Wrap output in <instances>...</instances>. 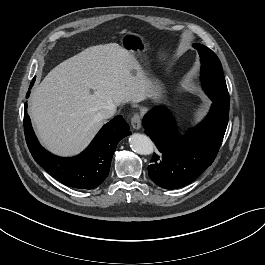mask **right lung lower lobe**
<instances>
[{
  "label": "right lung lower lobe",
  "instance_id": "obj_1",
  "mask_svg": "<svg viewBox=\"0 0 265 265\" xmlns=\"http://www.w3.org/2000/svg\"><path fill=\"white\" fill-rule=\"evenodd\" d=\"M35 77L31 82L33 86ZM30 92H27V97ZM24 131L28 148L34 160L61 183L81 189H93L108 176L113 153L118 142L131 134L121 115L115 117L96 135L88 148L76 157L61 158L39 144L31 126L27 105L24 110Z\"/></svg>",
  "mask_w": 265,
  "mask_h": 265
}]
</instances>
